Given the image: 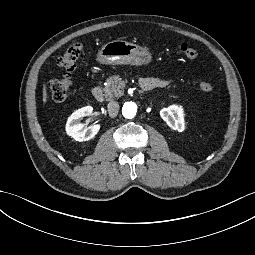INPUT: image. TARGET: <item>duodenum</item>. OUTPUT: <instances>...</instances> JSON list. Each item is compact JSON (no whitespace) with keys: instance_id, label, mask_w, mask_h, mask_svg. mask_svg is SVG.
I'll return each instance as SVG.
<instances>
[{"instance_id":"obj_1","label":"duodenum","mask_w":255,"mask_h":255,"mask_svg":"<svg viewBox=\"0 0 255 255\" xmlns=\"http://www.w3.org/2000/svg\"><path fill=\"white\" fill-rule=\"evenodd\" d=\"M141 87L144 90H148L151 88L152 83L150 81L147 80H142L140 82ZM91 93L93 95V97L98 100V101H102L103 97H104V93H103V89L102 86L100 84L96 85L95 87L92 88Z\"/></svg>"}]
</instances>
